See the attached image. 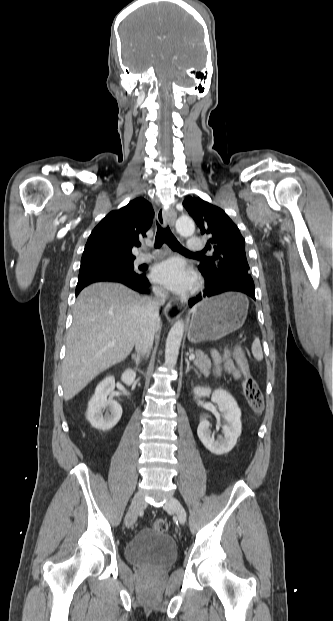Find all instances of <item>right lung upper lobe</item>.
<instances>
[{
	"instance_id": "obj_1",
	"label": "right lung upper lobe",
	"mask_w": 333,
	"mask_h": 621,
	"mask_svg": "<svg viewBox=\"0 0 333 621\" xmlns=\"http://www.w3.org/2000/svg\"><path fill=\"white\" fill-rule=\"evenodd\" d=\"M154 210L144 198H136L119 210L108 213L91 232L84 258L134 257L132 248L140 246L152 224Z\"/></svg>"
}]
</instances>
